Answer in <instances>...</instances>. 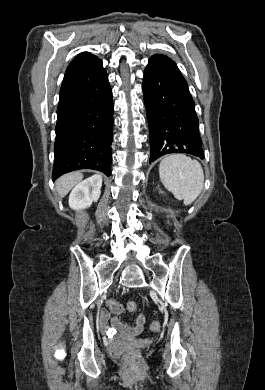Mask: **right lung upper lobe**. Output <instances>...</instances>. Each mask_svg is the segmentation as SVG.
Returning a JSON list of instances; mask_svg holds the SVG:
<instances>
[{"mask_svg": "<svg viewBox=\"0 0 265 390\" xmlns=\"http://www.w3.org/2000/svg\"><path fill=\"white\" fill-rule=\"evenodd\" d=\"M98 61L100 60L97 56L92 55L89 52H82L71 61V63L66 69L64 78L69 77L81 70H84L94 65Z\"/></svg>", "mask_w": 265, "mask_h": 390, "instance_id": "cb5924a9", "label": "right lung upper lobe"}]
</instances>
